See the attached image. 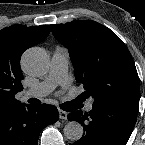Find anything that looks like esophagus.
I'll list each match as a JSON object with an SVG mask.
<instances>
[{
    "instance_id": "34e87169",
    "label": "esophagus",
    "mask_w": 145,
    "mask_h": 145,
    "mask_svg": "<svg viewBox=\"0 0 145 145\" xmlns=\"http://www.w3.org/2000/svg\"><path fill=\"white\" fill-rule=\"evenodd\" d=\"M67 112L63 111V110H59V117L60 119L66 120L67 119Z\"/></svg>"
}]
</instances>
